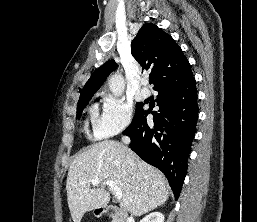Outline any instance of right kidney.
Wrapping results in <instances>:
<instances>
[{
	"label": "right kidney",
	"instance_id": "obj_1",
	"mask_svg": "<svg viewBox=\"0 0 257 222\" xmlns=\"http://www.w3.org/2000/svg\"><path fill=\"white\" fill-rule=\"evenodd\" d=\"M164 215L160 212H153L144 217L140 222H164Z\"/></svg>",
	"mask_w": 257,
	"mask_h": 222
}]
</instances>
